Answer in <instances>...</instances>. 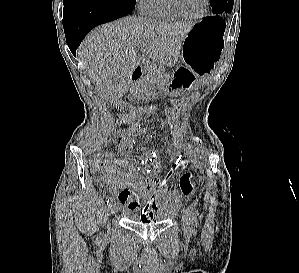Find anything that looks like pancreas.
Segmentation results:
<instances>
[{"mask_svg":"<svg viewBox=\"0 0 299 273\" xmlns=\"http://www.w3.org/2000/svg\"><path fill=\"white\" fill-rule=\"evenodd\" d=\"M146 69L148 74L138 82L137 87L135 88L136 95L144 94L153 90V83L150 79H155L158 73H161L164 70L161 65L158 67L155 63L148 64Z\"/></svg>","mask_w":299,"mask_h":273,"instance_id":"cf45deb5","label":"pancreas"}]
</instances>
